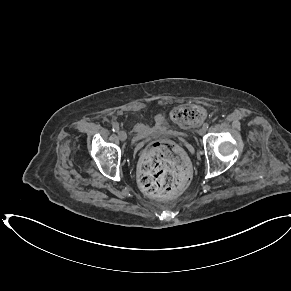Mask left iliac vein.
Wrapping results in <instances>:
<instances>
[{
    "instance_id": "left-iliac-vein-1",
    "label": "left iliac vein",
    "mask_w": 291,
    "mask_h": 291,
    "mask_svg": "<svg viewBox=\"0 0 291 291\" xmlns=\"http://www.w3.org/2000/svg\"><path fill=\"white\" fill-rule=\"evenodd\" d=\"M206 129L204 127H201L199 130H198V134L200 136H202L204 133H205Z\"/></svg>"
}]
</instances>
